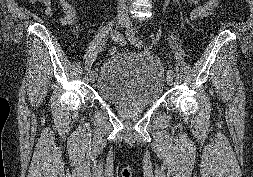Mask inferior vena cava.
Wrapping results in <instances>:
<instances>
[{"instance_id":"obj_1","label":"inferior vena cava","mask_w":253,"mask_h":177,"mask_svg":"<svg viewBox=\"0 0 253 177\" xmlns=\"http://www.w3.org/2000/svg\"><path fill=\"white\" fill-rule=\"evenodd\" d=\"M126 5V0H119V6L124 7Z\"/></svg>"}]
</instances>
